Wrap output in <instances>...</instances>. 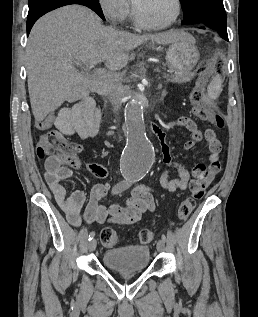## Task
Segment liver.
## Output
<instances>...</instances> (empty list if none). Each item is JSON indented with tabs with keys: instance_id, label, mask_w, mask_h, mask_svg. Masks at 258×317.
Instances as JSON below:
<instances>
[{
	"instance_id": "1",
	"label": "liver",
	"mask_w": 258,
	"mask_h": 317,
	"mask_svg": "<svg viewBox=\"0 0 258 317\" xmlns=\"http://www.w3.org/2000/svg\"><path fill=\"white\" fill-rule=\"evenodd\" d=\"M181 30L158 34H131L103 26L100 16L81 4H68L47 12L35 22L27 40L25 66L36 126L64 100H72L89 80L74 64L106 60L109 72L128 62L126 50L144 40L169 44L180 40Z\"/></svg>"
}]
</instances>
